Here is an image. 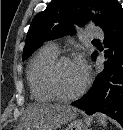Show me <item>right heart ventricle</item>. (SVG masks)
Returning <instances> with one entry per match:
<instances>
[{
	"label": "right heart ventricle",
	"mask_w": 123,
	"mask_h": 130,
	"mask_svg": "<svg viewBox=\"0 0 123 130\" xmlns=\"http://www.w3.org/2000/svg\"><path fill=\"white\" fill-rule=\"evenodd\" d=\"M57 56L58 50L47 44L38 50L29 64L27 80L31 96L37 102L45 103L56 100L48 86V69Z\"/></svg>",
	"instance_id": "right-heart-ventricle-1"
}]
</instances>
